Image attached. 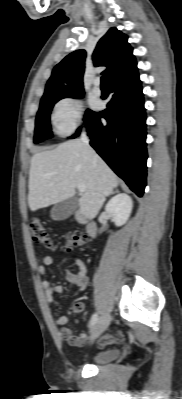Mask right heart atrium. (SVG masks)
<instances>
[{
	"label": "right heart atrium",
	"mask_w": 182,
	"mask_h": 399,
	"mask_svg": "<svg viewBox=\"0 0 182 399\" xmlns=\"http://www.w3.org/2000/svg\"><path fill=\"white\" fill-rule=\"evenodd\" d=\"M84 107L78 97H66L53 107L51 119L54 132L66 136L74 132L83 122Z\"/></svg>",
	"instance_id": "right-heart-atrium-1"
}]
</instances>
